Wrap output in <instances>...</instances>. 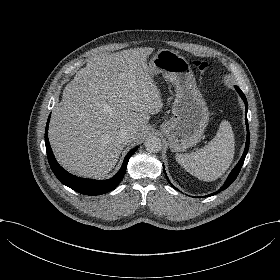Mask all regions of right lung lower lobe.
Wrapping results in <instances>:
<instances>
[{
    "instance_id": "right-lung-lower-lobe-1",
    "label": "right lung lower lobe",
    "mask_w": 280,
    "mask_h": 280,
    "mask_svg": "<svg viewBox=\"0 0 280 280\" xmlns=\"http://www.w3.org/2000/svg\"><path fill=\"white\" fill-rule=\"evenodd\" d=\"M49 119H50V115L48 117L47 124H46L45 144H46V152H47V156H48V161H49L50 167H51L53 173L55 174V176L64 185L70 187L71 189H73L81 194L90 195V196L101 195V194L107 193V192L113 190L114 188H116L125 175L129 158L135 153V151L138 148L136 147V148L132 149L126 155L120 170L114 177H112L108 180H103V181L79 178V177L69 174L56 161V159L52 153V150H51V147L49 144V140H48Z\"/></svg>"
}]
</instances>
